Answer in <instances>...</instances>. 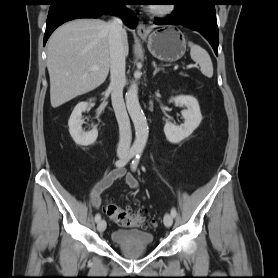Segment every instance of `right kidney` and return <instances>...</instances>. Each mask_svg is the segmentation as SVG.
Segmentation results:
<instances>
[{"mask_svg": "<svg viewBox=\"0 0 278 278\" xmlns=\"http://www.w3.org/2000/svg\"><path fill=\"white\" fill-rule=\"evenodd\" d=\"M87 106V102L78 103L68 121L69 133L74 142L80 146H89L93 144L98 137L96 127H93V129L89 132H84L82 130V112L87 109Z\"/></svg>", "mask_w": 278, "mask_h": 278, "instance_id": "right-kidney-1", "label": "right kidney"}]
</instances>
